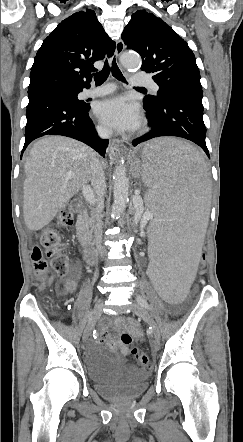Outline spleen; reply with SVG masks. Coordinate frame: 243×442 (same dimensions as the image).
I'll list each match as a JSON object with an SVG mask.
<instances>
[{
	"label": "spleen",
	"mask_w": 243,
	"mask_h": 442,
	"mask_svg": "<svg viewBox=\"0 0 243 442\" xmlns=\"http://www.w3.org/2000/svg\"><path fill=\"white\" fill-rule=\"evenodd\" d=\"M135 176L143 184L150 217L148 280L166 307H181L199 263L200 242L209 219L207 166L192 145L173 138L147 143Z\"/></svg>",
	"instance_id": "obj_1"
}]
</instances>
